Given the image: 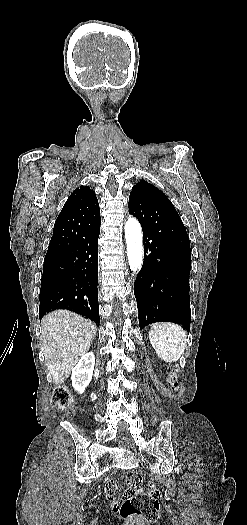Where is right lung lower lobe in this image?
<instances>
[{
  "label": "right lung lower lobe",
  "instance_id": "obj_1",
  "mask_svg": "<svg viewBox=\"0 0 247 525\" xmlns=\"http://www.w3.org/2000/svg\"><path fill=\"white\" fill-rule=\"evenodd\" d=\"M100 230L68 250L45 257L40 288L39 318L67 309L99 325L98 237Z\"/></svg>",
  "mask_w": 247,
  "mask_h": 525
}]
</instances>
